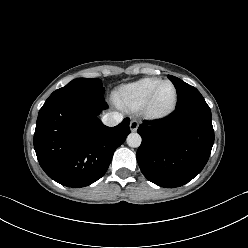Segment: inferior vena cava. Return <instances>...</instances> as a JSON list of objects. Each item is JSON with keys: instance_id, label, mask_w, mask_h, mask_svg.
<instances>
[{"instance_id": "602c4592", "label": "inferior vena cava", "mask_w": 248, "mask_h": 248, "mask_svg": "<svg viewBox=\"0 0 248 248\" xmlns=\"http://www.w3.org/2000/svg\"><path fill=\"white\" fill-rule=\"evenodd\" d=\"M123 120V115L118 112L107 113L102 117V122L106 126L113 127Z\"/></svg>"}]
</instances>
